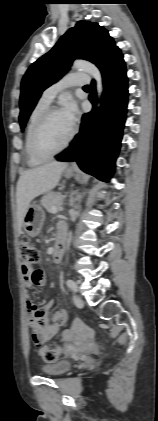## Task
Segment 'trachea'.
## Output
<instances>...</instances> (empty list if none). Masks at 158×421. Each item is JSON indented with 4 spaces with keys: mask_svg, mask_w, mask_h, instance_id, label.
<instances>
[{
    "mask_svg": "<svg viewBox=\"0 0 158 421\" xmlns=\"http://www.w3.org/2000/svg\"><path fill=\"white\" fill-rule=\"evenodd\" d=\"M84 88H90V86L89 85H86V86H84Z\"/></svg>",
    "mask_w": 158,
    "mask_h": 421,
    "instance_id": "trachea-1",
    "label": "trachea"
}]
</instances>
